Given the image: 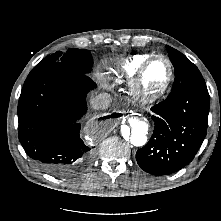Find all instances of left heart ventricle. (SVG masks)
Here are the masks:
<instances>
[{
    "label": "left heart ventricle",
    "mask_w": 221,
    "mask_h": 221,
    "mask_svg": "<svg viewBox=\"0 0 221 221\" xmlns=\"http://www.w3.org/2000/svg\"><path fill=\"white\" fill-rule=\"evenodd\" d=\"M168 76V64L162 59H157L145 72L142 80V89L147 93L158 91L164 86Z\"/></svg>",
    "instance_id": "left-heart-ventricle-1"
}]
</instances>
